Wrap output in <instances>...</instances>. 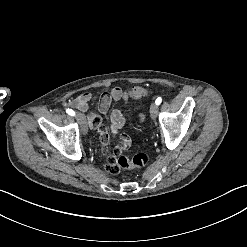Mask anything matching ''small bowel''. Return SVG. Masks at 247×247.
Masks as SVG:
<instances>
[{
	"mask_svg": "<svg viewBox=\"0 0 247 247\" xmlns=\"http://www.w3.org/2000/svg\"><path fill=\"white\" fill-rule=\"evenodd\" d=\"M95 100L96 97L92 93L85 92L69 100L66 105L67 107L84 112L87 111L90 104ZM112 100L126 102L128 100V94L120 87H113L109 93H104L99 97V112H106ZM100 113H90L87 116V123L90 128H96L98 130V148L101 151L105 171L110 176H116L119 173V168L114 165L116 158L108 154L107 145L109 144V135L115 136L123 127L125 122L124 116L120 109L116 108L112 110L110 113V129H108L106 126H103L102 123H96L99 119L101 120ZM140 118L142 119V116ZM117 142L118 144L114 147V152L117 155H122L126 150L132 147V138L129 135L118 136Z\"/></svg>",
	"mask_w": 247,
	"mask_h": 247,
	"instance_id": "1",
	"label": "small bowel"
}]
</instances>
